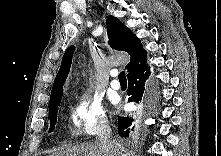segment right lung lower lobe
Here are the masks:
<instances>
[{
	"mask_svg": "<svg viewBox=\"0 0 221 156\" xmlns=\"http://www.w3.org/2000/svg\"><path fill=\"white\" fill-rule=\"evenodd\" d=\"M150 76V67L148 64L132 70L128 75V102H140L144 98L145 83ZM133 118L119 117L118 118V133L122 137L129 135V128L132 127ZM133 129V128H132Z\"/></svg>",
	"mask_w": 221,
	"mask_h": 156,
	"instance_id": "right-lung-lower-lobe-1",
	"label": "right lung lower lobe"
}]
</instances>
